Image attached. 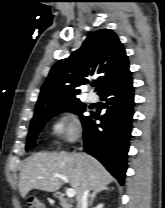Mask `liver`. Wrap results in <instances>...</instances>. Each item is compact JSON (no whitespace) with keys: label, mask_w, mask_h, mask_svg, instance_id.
<instances>
[{"label":"liver","mask_w":165,"mask_h":208,"mask_svg":"<svg viewBox=\"0 0 165 208\" xmlns=\"http://www.w3.org/2000/svg\"><path fill=\"white\" fill-rule=\"evenodd\" d=\"M66 176L80 196L85 188L95 190L113 181L111 174L94 157L83 153L40 152L28 157L20 170L19 191L23 198L32 189L55 192L62 186L60 178Z\"/></svg>","instance_id":"liver-1"}]
</instances>
